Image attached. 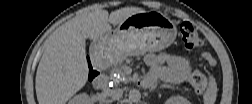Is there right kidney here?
I'll use <instances>...</instances> for the list:
<instances>
[{"mask_svg": "<svg viewBox=\"0 0 252 104\" xmlns=\"http://www.w3.org/2000/svg\"><path fill=\"white\" fill-rule=\"evenodd\" d=\"M90 100V97L86 93L78 94L74 96L69 104H87Z\"/></svg>", "mask_w": 252, "mask_h": 104, "instance_id": "obj_1", "label": "right kidney"}]
</instances>
